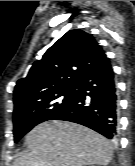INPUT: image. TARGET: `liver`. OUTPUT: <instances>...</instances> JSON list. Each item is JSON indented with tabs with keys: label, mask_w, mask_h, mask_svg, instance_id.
<instances>
[{
	"label": "liver",
	"mask_w": 135,
	"mask_h": 166,
	"mask_svg": "<svg viewBox=\"0 0 135 166\" xmlns=\"http://www.w3.org/2000/svg\"><path fill=\"white\" fill-rule=\"evenodd\" d=\"M29 152L12 166L108 165L113 156L111 142L95 131L67 121H47L26 136Z\"/></svg>",
	"instance_id": "6515ba94"
}]
</instances>
